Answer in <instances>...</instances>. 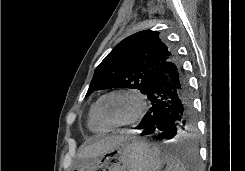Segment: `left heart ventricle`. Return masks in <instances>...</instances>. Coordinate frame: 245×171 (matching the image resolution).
<instances>
[{"label": "left heart ventricle", "mask_w": 245, "mask_h": 171, "mask_svg": "<svg viewBox=\"0 0 245 171\" xmlns=\"http://www.w3.org/2000/svg\"><path fill=\"white\" fill-rule=\"evenodd\" d=\"M137 108L136 100L128 95H112L100 105L101 116L110 123H119L129 119Z\"/></svg>", "instance_id": "b2bd125f"}]
</instances>
